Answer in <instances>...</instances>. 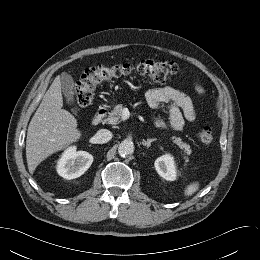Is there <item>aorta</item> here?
<instances>
[{
  "label": "aorta",
  "instance_id": "obj_1",
  "mask_svg": "<svg viewBox=\"0 0 260 260\" xmlns=\"http://www.w3.org/2000/svg\"><path fill=\"white\" fill-rule=\"evenodd\" d=\"M134 144L129 140H124L119 144L118 153L120 156L125 157L133 154Z\"/></svg>",
  "mask_w": 260,
  "mask_h": 260
}]
</instances>
